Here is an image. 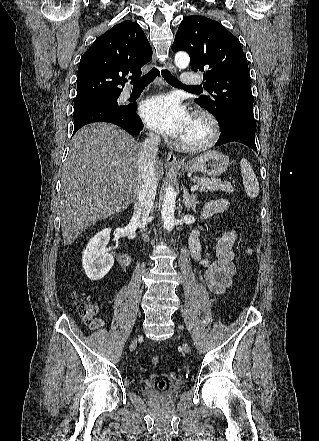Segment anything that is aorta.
<instances>
[{
	"mask_svg": "<svg viewBox=\"0 0 319 441\" xmlns=\"http://www.w3.org/2000/svg\"><path fill=\"white\" fill-rule=\"evenodd\" d=\"M175 64L180 69H185L190 63V58L187 52L178 51L174 58ZM176 204V192L172 186H168L161 210L163 226L167 231H171L176 223L174 212Z\"/></svg>",
	"mask_w": 319,
	"mask_h": 441,
	"instance_id": "aorta-1",
	"label": "aorta"
}]
</instances>
